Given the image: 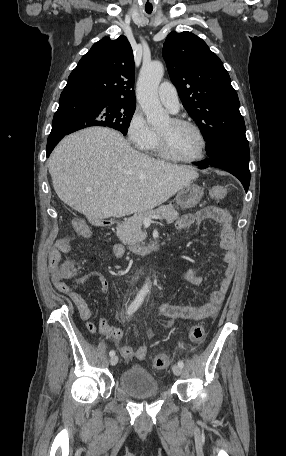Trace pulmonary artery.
<instances>
[{"label": "pulmonary artery", "mask_w": 286, "mask_h": 456, "mask_svg": "<svg viewBox=\"0 0 286 456\" xmlns=\"http://www.w3.org/2000/svg\"><path fill=\"white\" fill-rule=\"evenodd\" d=\"M160 102L175 113L178 111L179 99L175 86L169 82L162 83L158 88Z\"/></svg>", "instance_id": "obj_1"}]
</instances>
